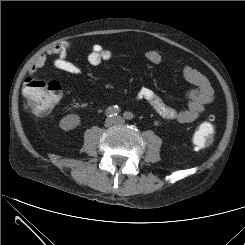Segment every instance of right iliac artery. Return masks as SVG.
<instances>
[{
	"label": "right iliac artery",
	"instance_id": "right-iliac-artery-1",
	"mask_svg": "<svg viewBox=\"0 0 245 245\" xmlns=\"http://www.w3.org/2000/svg\"><path fill=\"white\" fill-rule=\"evenodd\" d=\"M119 112H120V108L115 105L107 108V110L105 111V115L107 117H113L116 116Z\"/></svg>",
	"mask_w": 245,
	"mask_h": 245
}]
</instances>
